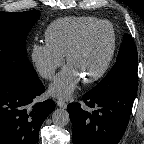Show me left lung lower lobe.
Listing matches in <instances>:
<instances>
[{"instance_id": "1", "label": "left lung lower lobe", "mask_w": 144, "mask_h": 144, "mask_svg": "<svg viewBox=\"0 0 144 144\" xmlns=\"http://www.w3.org/2000/svg\"><path fill=\"white\" fill-rule=\"evenodd\" d=\"M136 92L137 85L131 89H92L82 99L93 112L78 103L69 104L73 144H117L129 122Z\"/></svg>"}]
</instances>
